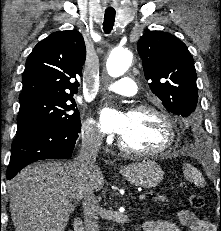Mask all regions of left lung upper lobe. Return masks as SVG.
<instances>
[{
  "label": "left lung upper lobe",
  "instance_id": "1",
  "mask_svg": "<svg viewBox=\"0 0 221 231\" xmlns=\"http://www.w3.org/2000/svg\"><path fill=\"white\" fill-rule=\"evenodd\" d=\"M137 50L149 87L163 106L182 117L194 113L198 100L196 70L186 45L170 33L147 31Z\"/></svg>",
  "mask_w": 221,
  "mask_h": 231
}]
</instances>
